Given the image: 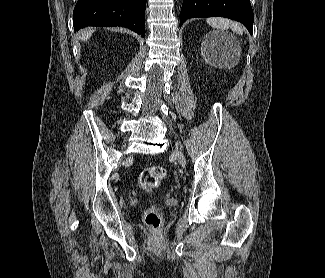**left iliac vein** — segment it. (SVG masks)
Instances as JSON below:
<instances>
[{
	"label": "left iliac vein",
	"instance_id": "4c4485c4",
	"mask_svg": "<svg viewBox=\"0 0 325 278\" xmlns=\"http://www.w3.org/2000/svg\"><path fill=\"white\" fill-rule=\"evenodd\" d=\"M173 155L182 166L186 165L185 157L179 150H174Z\"/></svg>",
	"mask_w": 325,
	"mask_h": 278
}]
</instances>
